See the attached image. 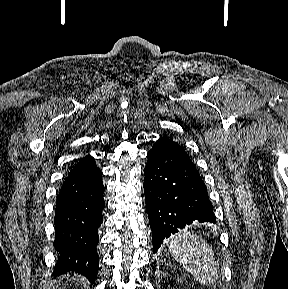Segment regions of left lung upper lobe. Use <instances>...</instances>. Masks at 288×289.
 Returning <instances> with one entry per match:
<instances>
[{
	"label": "left lung upper lobe",
	"instance_id": "5c2ea615",
	"mask_svg": "<svg viewBox=\"0 0 288 289\" xmlns=\"http://www.w3.org/2000/svg\"><path fill=\"white\" fill-rule=\"evenodd\" d=\"M161 138L169 140V141L172 142L176 147H178L184 154H186V155L188 156V154L186 153V151L184 150V148H183L181 145H179L178 142H175V141H173L172 138H168V137H161Z\"/></svg>",
	"mask_w": 288,
	"mask_h": 289
}]
</instances>
